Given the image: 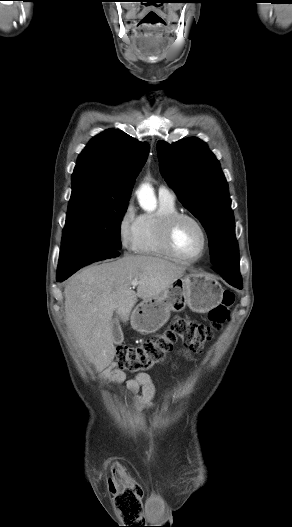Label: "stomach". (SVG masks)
Wrapping results in <instances>:
<instances>
[{
    "label": "stomach",
    "mask_w": 292,
    "mask_h": 527,
    "mask_svg": "<svg viewBox=\"0 0 292 527\" xmlns=\"http://www.w3.org/2000/svg\"><path fill=\"white\" fill-rule=\"evenodd\" d=\"M223 289L213 277L190 273L180 278L166 292L144 300L133 311L131 326L142 334L154 333L169 319L171 311L188 306L196 313H207L222 301Z\"/></svg>",
    "instance_id": "stomach-1"
}]
</instances>
